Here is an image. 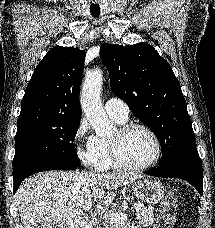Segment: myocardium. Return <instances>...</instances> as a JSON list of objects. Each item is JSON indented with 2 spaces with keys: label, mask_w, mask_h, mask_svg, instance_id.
<instances>
[{
  "label": "myocardium",
  "mask_w": 215,
  "mask_h": 228,
  "mask_svg": "<svg viewBox=\"0 0 215 228\" xmlns=\"http://www.w3.org/2000/svg\"><path fill=\"white\" fill-rule=\"evenodd\" d=\"M135 128L144 130L150 136L154 145V154L147 162L141 165L131 166L126 164L120 157L119 140L121 137H123L125 134ZM110 154L113 165L115 167L124 171L138 172L151 167L159 161L161 156V143L155 131L148 125L141 122H126L118 128L117 136L110 139Z\"/></svg>",
  "instance_id": "f54148a6"
}]
</instances>
